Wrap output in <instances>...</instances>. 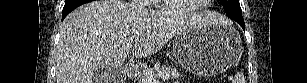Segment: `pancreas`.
Returning a JSON list of instances; mask_svg holds the SVG:
<instances>
[{
    "label": "pancreas",
    "instance_id": "pancreas-1",
    "mask_svg": "<svg viewBox=\"0 0 307 83\" xmlns=\"http://www.w3.org/2000/svg\"><path fill=\"white\" fill-rule=\"evenodd\" d=\"M148 74H151L152 76H162L163 79H176L180 76V73L176 68L156 65L154 68H148L140 72L137 78L138 83H145V78Z\"/></svg>",
    "mask_w": 307,
    "mask_h": 83
}]
</instances>
